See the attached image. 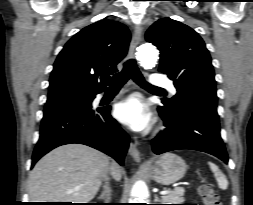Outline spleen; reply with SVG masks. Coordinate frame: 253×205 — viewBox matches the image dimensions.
Instances as JSON below:
<instances>
[{"mask_svg":"<svg viewBox=\"0 0 253 205\" xmlns=\"http://www.w3.org/2000/svg\"><path fill=\"white\" fill-rule=\"evenodd\" d=\"M209 167L211 169V171L214 173V176L218 182V186L220 189L225 190L228 187V180L226 178V176L222 173V171L219 169V167L212 163L209 162Z\"/></svg>","mask_w":253,"mask_h":205,"instance_id":"obj_1","label":"spleen"}]
</instances>
